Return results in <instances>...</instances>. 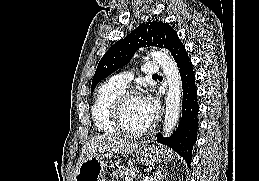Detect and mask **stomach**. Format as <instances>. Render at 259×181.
Instances as JSON below:
<instances>
[{
    "mask_svg": "<svg viewBox=\"0 0 259 181\" xmlns=\"http://www.w3.org/2000/svg\"><path fill=\"white\" fill-rule=\"evenodd\" d=\"M138 159L146 164L166 163L172 154L165 148L144 144L137 152ZM105 162L101 154L87 155L77 166L74 181H104Z\"/></svg>",
    "mask_w": 259,
    "mask_h": 181,
    "instance_id": "1",
    "label": "stomach"
}]
</instances>
